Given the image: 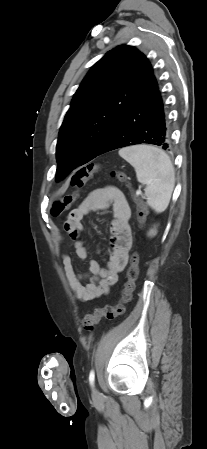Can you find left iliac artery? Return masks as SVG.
Instances as JSON below:
<instances>
[{
    "mask_svg": "<svg viewBox=\"0 0 207 449\" xmlns=\"http://www.w3.org/2000/svg\"><path fill=\"white\" fill-rule=\"evenodd\" d=\"M94 380H95V373H94V370H91L90 374H89V382H90L91 386L94 385Z\"/></svg>",
    "mask_w": 207,
    "mask_h": 449,
    "instance_id": "obj_1",
    "label": "left iliac artery"
}]
</instances>
